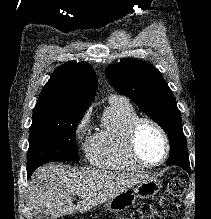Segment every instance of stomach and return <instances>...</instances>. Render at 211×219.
I'll list each match as a JSON object with an SVG mask.
<instances>
[{
  "instance_id": "1",
  "label": "stomach",
  "mask_w": 211,
  "mask_h": 219,
  "mask_svg": "<svg viewBox=\"0 0 211 219\" xmlns=\"http://www.w3.org/2000/svg\"><path fill=\"white\" fill-rule=\"evenodd\" d=\"M161 187L160 181L157 178L150 176L144 182L136 185L133 190H125L108 200L104 207L110 212L124 211L135 204L137 197L143 199L150 198L157 194Z\"/></svg>"
}]
</instances>
